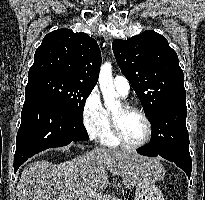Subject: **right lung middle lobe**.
Returning a JSON list of instances; mask_svg holds the SVG:
<instances>
[{
  "label": "right lung middle lobe",
  "mask_w": 205,
  "mask_h": 200,
  "mask_svg": "<svg viewBox=\"0 0 205 200\" xmlns=\"http://www.w3.org/2000/svg\"><path fill=\"white\" fill-rule=\"evenodd\" d=\"M94 87L58 75H42L28 80L25 94L44 95L75 118L83 121L85 101Z\"/></svg>",
  "instance_id": "1"
}]
</instances>
